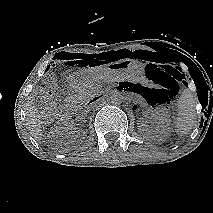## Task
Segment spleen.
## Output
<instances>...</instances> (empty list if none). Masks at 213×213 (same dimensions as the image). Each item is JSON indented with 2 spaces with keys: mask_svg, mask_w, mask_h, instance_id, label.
<instances>
[{
  "mask_svg": "<svg viewBox=\"0 0 213 213\" xmlns=\"http://www.w3.org/2000/svg\"><path fill=\"white\" fill-rule=\"evenodd\" d=\"M196 123V100L189 90H184L178 101V117L175 132L178 136L190 133Z\"/></svg>",
  "mask_w": 213,
  "mask_h": 213,
  "instance_id": "1",
  "label": "spleen"
}]
</instances>
